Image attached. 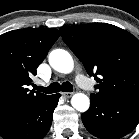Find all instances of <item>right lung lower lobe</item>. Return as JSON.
Returning a JSON list of instances; mask_svg holds the SVG:
<instances>
[{
  "instance_id": "1",
  "label": "right lung lower lobe",
  "mask_w": 139,
  "mask_h": 139,
  "mask_svg": "<svg viewBox=\"0 0 139 139\" xmlns=\"http://www.w3.org/2000/svg\"><path fill=\"white\" fill-rule=\"evenodd\" d=\"M60 94H54L36 107L0 121L4 139H42L50 129Z\"/></svg>"
}]
</instances>
